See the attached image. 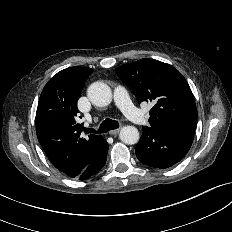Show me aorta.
Returning a JSON list of instances; mask_svg holds the SVG:
<instances>
[{"mask_svg":"<svg viewBox=\"0 0 232 232\" xmlns=\"http://www.w3.org/2000/svg\"><path fill=\"white\" fill-rule=\"evenodd\" d=\"M87 96L92 104L99 107L107 106L112 101V91L103 82L92 83L87 90ZM119 138L125 144H136L139 141V131L134 126H125L121 129Z\"/></svg>","mask_w":232,"mask_h":232,"instance_id":"aorta-1","label":"aorta"}]
</instances>
